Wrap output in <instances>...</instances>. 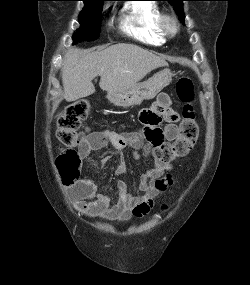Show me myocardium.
<instances>
[{
    "label": "myocardium",
    "instance_id": "1",
    "mask_svg": "<svg viewBox=\"0 0 250 285\" xmlns=\"http://www.w3.org/2000/svg\"><path fill=\"white\" fill-rule=\"evenodd\" d=\"M157 25L159 32L164 38L175 36L179 30L177 18L169 13H161Z\"/></svg>",
    "mask_w": 250,
    "mask_h": 285
}]
</instances>
